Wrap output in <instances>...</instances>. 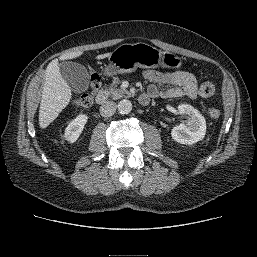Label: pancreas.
Returning <instances> with one entry per match:
<instances>
[{
  "label": "pancreas",
  "mask_w": 257,
  "mask_h": 257,
  "mask_svg": "<svg viewBox=\"0 0 257 257\" xmlns=\"http://www.w3.org/2000/svg\"><path fill=\"white\" fill-rule=\"evenodd\" d=\"M118 85L119 81L116 80L109 87L104 88L102 92L113 99H119L125 96L124 94L129 95V92L126 89L118 88Z\"/></svg>",
  "instance_id": "obj_1"
}]
</instances>
